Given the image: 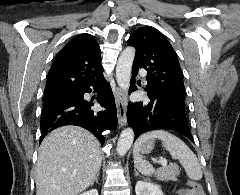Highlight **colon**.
<instances>
[{"label": "colon", "mask_w": 240, "mask_h": 195, "mask_svg": "<svg viewBox=\"0 0 240 195\" xmlns=\"http://www.w3.org/2000/svg\"><path fill=\"white\" fill-rule=\"evenodd\" d=\"M200 187V186H199ZM190 193L196 195H202V189H198V186H195V183H190Z\"/></svg>", "instance_id": "5ec220e1"}]
</instances>
